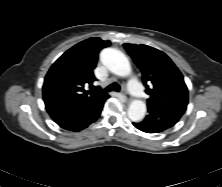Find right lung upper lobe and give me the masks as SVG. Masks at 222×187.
Masks as SVG:
<instances>
[{
    "label": "right lung upper lobe",
    "instance_id": "cb5924a9",
    "mask_svg": "<svg viewBox=\"0 0 222 187\" xmlns=\"http://www.w3.org/2000/svg\"><path fill=\"white\" fill-rule=\"evenodd\" d=\"M109 45L110 41L93 37L66 51L45 77L43 98L54 97L76 105H88L109 98L106 93L84 89L85 85H92L95 81L93 70L99 51Z\"/></svg>",
    "mask_w": 222,
    "mask_h": 187
}]
</instances>
